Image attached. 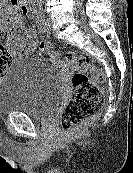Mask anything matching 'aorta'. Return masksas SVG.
<instances>
[{"label": "aorta", "instance_id": "obj_1", "mask_svg": "<svg viewBox=\"0 0 133 173\" xmlns=\"http://www.w3.org/2000/svg\"><path fill=\"white\" fill-rule=\"evenodd\" d=\"M31 1H33L34 3H40L41 2V0H31Z\"/></svg>", "mask_w": 133, "mask_h": 173}]
</instances>
